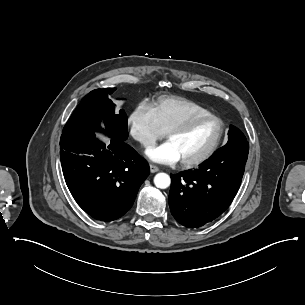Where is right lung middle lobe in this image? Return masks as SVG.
<instances>
[{
  "instance_id": "obj_1",
  "label": "right lung middle lobe",
  "mask_w": 305,
  "mask_h": 305,
  "mask_svg": "<svg viewBox=\"0 0 305 305\" xmlns=\"http://www.w3.org/2000/svg\"><path fill=\"white\" fill-rule=\"evenodd\" d=\"M115 90L116 88L96 89L86 95L64 126L62 135L101 131L100 121L103 120L110 137L126 140L127 115L123 109L115 112V105L108 98Z\"/></svg>"
}]
</instances>
